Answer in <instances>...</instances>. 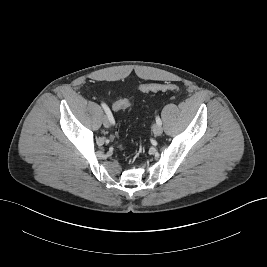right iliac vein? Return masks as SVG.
<instances>
[{"label": "right iliac vein", "instance_id": "63e3f726", "mask_svg": "<svg viewBox=\"0 0 267 267\" xmlns=\"http://www.w3.org/2000/svg\"><path fill=\"white\" fill-rule=\"evenodd\" d=\"M103 125H104V127H106V128H109V127H110V121H109V119H108L107 116H104V117H103Z\"/></svg>", "mask_w": 267, "mask_h": 267}]
</instances>
